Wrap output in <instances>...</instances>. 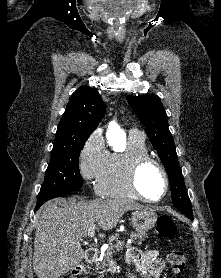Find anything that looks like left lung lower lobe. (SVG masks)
<instances>
[{
  "label": "left lung lower lobe",
  "instance_id": "0a47b994",
  "mask_svg": "<svg viewBox=\"0 0 221 278\" xmlns=\"http://www.w3.org/2000/svg\"><path fill=\"white\" fill-rule=\"evenodd\" d=\"M180 209L189 219L193 220V214L191 207H177Z\"/></svg>",
  "mask_w": 221,
  "mask_h": 278
}]
</instances>
